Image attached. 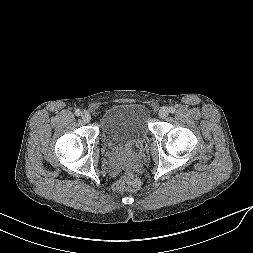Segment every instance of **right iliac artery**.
<instances>
[{
	"mask_svg": "<svg viewBox=\"0 0 253 253\" xmlns=\"http://www.w3.org/2000/svg\"><path fill=\"white\" fill-rule=\"evenodd\" d=\"M75 115L76 116H80L81 115V111L79 109L75 110Z\"/></svg>",
	"mask_w": 253,
	"mask_h": 253,
	"instance_id": "1",
	"label": "right iliac artery"
}]
</instances>
